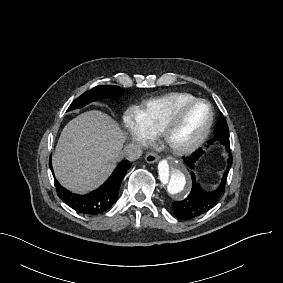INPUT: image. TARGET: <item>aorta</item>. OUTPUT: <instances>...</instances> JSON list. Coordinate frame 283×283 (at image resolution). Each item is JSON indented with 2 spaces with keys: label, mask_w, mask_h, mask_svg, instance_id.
<instances>
[{
  "label": "aorta",
  "mask_w": 283,
  "mask_h": 283,
  "mask_svg": "<svg viewBox=\"0 0 283 283\" xmlns=\"http://www.w3.org/2000/svg\"><path fill=\"white\" fill-rule=\"evenodd\" d=\"M158 185L162 195L184 200L191 188V176L183 162L173 157L158 164Z\"/></svg>",
  "instance_id": "762f6f07"
}]
</instances>
